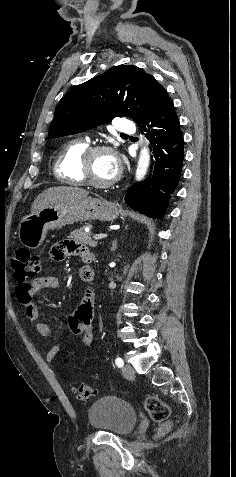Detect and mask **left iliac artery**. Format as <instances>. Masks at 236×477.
I'll return each instance as SVG.
<instances>
[{
  "label": "left iliac artery",
  "instance_id": "left-iliac-artery-1",
  "mask_svg": "<svg viewBox=\"0 0 236 477\" xmlns=\"http://www.w3.org/2000/svg\"><path fill=\"white\" fill-rule=\"evenodd\" d=\"M115 363L119 368H121L124 365V361L120 357L116 358Z\"/></svg>",
  "mask_w": 236,
  "mask_h": 477
}]
</instances>
